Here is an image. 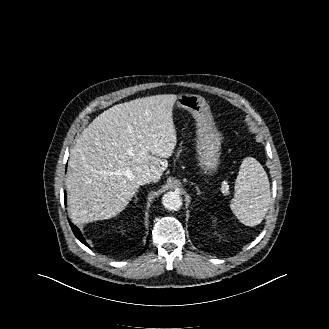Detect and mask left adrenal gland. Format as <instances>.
<instances>
[{
	"label": "left adrenal gland",
	"mask_w": 329,
	"mask_h": 329,
	"mask_svg": "<svg viewBox=\"0 0 329 329\" xmlns=\"http://www.w3.org/2000/svg\"><path fill=\"white\" fill-rule=\"evenodd\" d=\"M196 190H197V195H200L202 192L200 191L198 185L195 186Z\"/></svg>",
	"instance_id": "left-adrenal-gland-1"
}]
</instances>
